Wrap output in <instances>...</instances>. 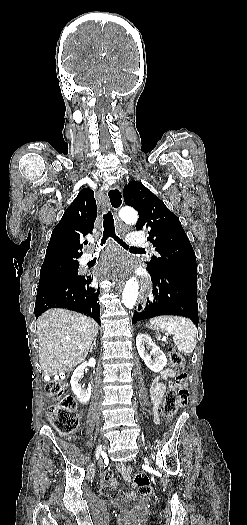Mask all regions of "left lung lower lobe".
<instances>
[{
    "label": "left lung lower lobe",
    "instance_id": "0a47b994",
    "mask_svg": "<svg viewBox=\"0 0 247 525\" xmlns=\"http://www.w3.org/2000/svg\"><path fill=\"white\" fill-rule=\"evenodd\" d=\"M153 281L154 303L138 308L132 323L160 315L185 316L198 326L197 279L149 272ZM149 301V299H148Z\"/></svg>",
    "mask_w": 247,
    "mask_h": 525
}]
</instances>
